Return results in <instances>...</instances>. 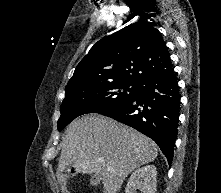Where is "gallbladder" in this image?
Segmentation results:
<instances>
[{
  "label": "gallbladder",
  "mask_w": 221,
  "mask_h": 193,
  "mask_svg": "<svg viewBox=\"0 0 221 193\" xmlns=\"http://www.w3.org/2000/svg\"><path fill=\"white\" fill-rule=\"evenodd\" d=\"M100 181H101V178H100V177H98V176H96V175H93V176L91 177V179H90V184H91L92 186H97V185L100 183Z\"/></svg>",
  "instance_id": "bac80fb5"
}]
</instances>
